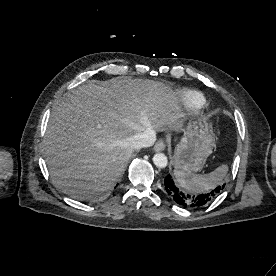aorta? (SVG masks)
Returning <instances> with one entry per match:
<instances>
[{"instance_id": "aorta-1", "label": "aorta", "mask_w": 276, "mask_h": 276, "mask_svg": "<svg viewBox=\"0 0 276 276\" xmlns=\"http://www.w3.org/2000/svg\"><path fill=\"white\" fill-rule=\"evenodd\" d=\"M153 163L158 168H165L168 164L167 156L163 153H156L153 156Z\"/></svg>"}]
</instances>
